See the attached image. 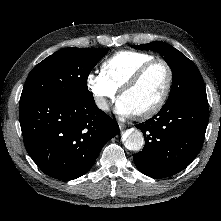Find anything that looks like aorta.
<instances>
[{"instance_id": "1", "label": "aorta", "mask_w": 221, "mask_h": 221, "mask_svg": "<svg viewBox=\"0 0 221 221\" xmlns=\"http://www.w3.org/2000/svg\"><path fill=\"white\" fill-rule=\"evenodd\" d=\"M124 146L130 151H139L144 146V136L138 129H129L124 135Z\"/></svg>"}]
</instances>
